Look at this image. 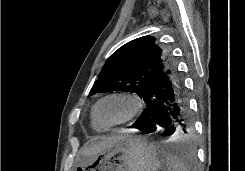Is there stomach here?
<instances>
[{
	"label": "stomach",
	"instance_id": "0dacf381",
	"mask_svg": "<svg viewBox=\"0 0 245 171\" xmlns=\"http://www.w3.org/2000/svg\"><path fill=\"white\" fill-rule=\"evenodd\" d=\"M162 151L141 137L129 134L97 155L82 157L73 171H159Z\"/></svg>",
	"mask_w": 245,
	"mask_h": 171
}]
</instances>
